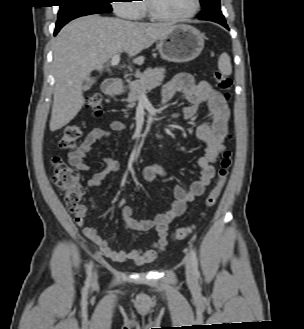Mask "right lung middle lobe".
Instances as JSON below:
<instances>
[{
  "mask_svg": "<svg viewBox=\"0 0 304 329\" xmlns=\"http://www.w3.org/2000/svg\"><path fill=\"white\" fill-rule=\"evenodd\" d=\"M59 3L56 26L64 25L81 16L112 11L111 0H59Z\"/></svg>",
  "mask_w": 304,
  "mask_h": 329,
  "instance_id": "1",
  "label": "right lung middle lobe"
}]
</instances>
